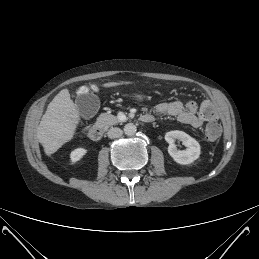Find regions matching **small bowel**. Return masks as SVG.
<instances>
[{
  "label": "small bowel",
  "instance_id": "c3829d8e",
  "mask_svg": "<svg viewBox=\"0 0 259 259\" xmlns=\"http://www.w3.org/2000/svg\"><path fill=\"white\" fill-rule=\"evenodd\" d=\"M155 112L157 115L176 117L180 123L193 128H199L208 121L201 111H197V104L194 101H188L185 104L181 101L162 102L156 106Z\"/></svg>",
  "mask_w": 259,
  "mask_h": 259
}]
</instances>
